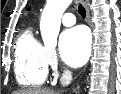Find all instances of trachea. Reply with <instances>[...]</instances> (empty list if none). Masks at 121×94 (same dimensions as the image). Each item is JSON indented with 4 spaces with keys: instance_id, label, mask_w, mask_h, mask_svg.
Instances as JSON below:
<instances>
[{
    "instance_id": "obj_1",
    "label": "trachea",
    "mask_w": 121,
    "mask_h": 94,
    "mask_svg": "<svg viewBox=\"0 0 121 94\" xmlns=\"http://www.w3.org/2000/svg\"><path fill=\"white\" fill-rule=\"evenodd\" d=\"M78 13L80 14L81 17L83 18L86 17V10L81 4H79L78 6Z\"/></svg>"
}]
</instances>
